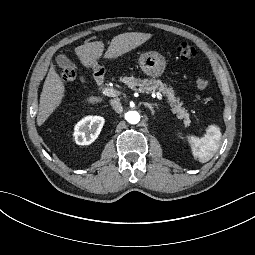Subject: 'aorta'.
<instances>
[{"label":"aorta","mask_w":255,"mask_h":255,"mask_svg":"<svg viewBox=\"0 0 255 255\" xmlns=\"http://www.w3.org/2000/svg\"><path fill=\"white\" fill-rule=\"evenodd\" d=\"M125 118L130 124H137L140 121V115L136 111L127 112Z\"/></svg>","instance_id":"1"}]
</instances>
